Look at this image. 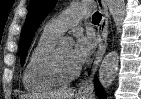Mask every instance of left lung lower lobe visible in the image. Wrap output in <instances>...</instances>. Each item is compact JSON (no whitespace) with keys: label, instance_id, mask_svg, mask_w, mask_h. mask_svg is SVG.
I'll list each match as a JSON object with an SVG mask.
<instances>
[{"label":"left lung lower lobe","instance_id":"left-lung-lower-lobe-1","mask_svg":"<svg viewBox=\"0 0 141 99\" xmlns=\"http://www.w3.org/2000/svg\"><path fill=\"white\" fill-rule=\"evenodd\" d=\"M95 91H96V95L98 96V98L105 99L104 91L102 87L98 84V82H96L95 84Z\"/></svg>","mask_w":141,"mask_h":99}]
</instances>
